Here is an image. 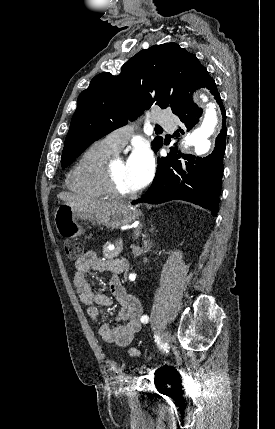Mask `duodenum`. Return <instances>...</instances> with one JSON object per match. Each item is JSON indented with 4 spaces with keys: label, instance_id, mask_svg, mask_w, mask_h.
I'll return each instance as SVG.
<instances>
[{
    "label": "duodenum",
    "instance_id": "duodenum-1",
    "mask_svg": "<svg viewBox=\"0 0 275 429\" xmlns=\"http://www.w3.org/2000/svg\"><path fill=\"white\" fill-rule=\"evenodd\" d=\"M123 270H124V263L119 261L117 266H116V272L121 273Z\"/></svg>",
    "mask_w": 275,
    "mask_h": 429
}]
</instances>
